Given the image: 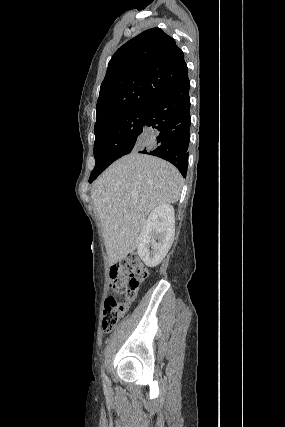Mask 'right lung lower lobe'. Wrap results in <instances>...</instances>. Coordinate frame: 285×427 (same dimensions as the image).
<instances>
[{"instance_id": "obj_1", "label": "right lung lower lobe", "mask_w": 285, "mask_h": 427, "mask_svg": "<svg viewBox=\"0 0 285 427\" xmlns=\"http://www.w3.org/2000/svg\"><path fill=\"white\" fill-rule=\"evenodd\" d=\"M190 82L188 77L146 105L139 153L169 161L186 177L190 142ZM98 172L89 182L97 178Z\"/></svg>"}]
</instances>
